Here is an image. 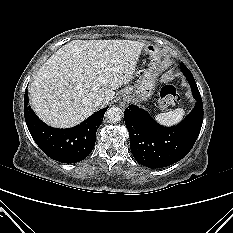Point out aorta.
Returning a JSON list of instances; mask_svg holds the SVG:
<instances>
[{
    "mask_svg": "<svg viewBox=\"0 0 233 233\" xmlns=\"http://www.w3.org/2000/svg\"><path fill=\"white\" fill-rule=\"evenodd\" d=\"M105 116L109 123H116L122 119L123 112L119 107H111L106 111Z\"/></svg>",
    "mask_w": 233,
    "mask_h": 233,
    "instance_id": "obj_1",
    "label": "aorta"
}]
</instances>
